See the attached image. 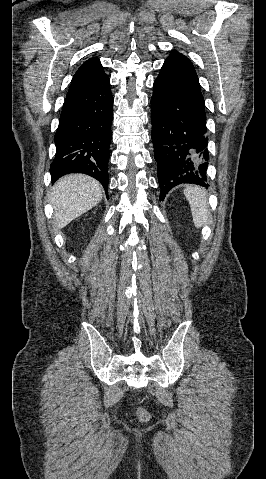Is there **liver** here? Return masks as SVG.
Listing matches in <instances>:
<instances>
[{
  "mask_svg": "<svg viewBox=\"0 0 266 479\" xmlns=\"http://www.w3.org/2000/svg\"><path fill=\"white\" fill-rule=\"evenodd\" d=\"M102 195L100 183L87 175L71 174L59 179L51 196L56 229H62L95 207L101 201Z\"/></svg>",
  "mask_w": 266,
  "mask_h": 479,
  "instance_id": "1",
  "label": "liver"
}]
</instances>
